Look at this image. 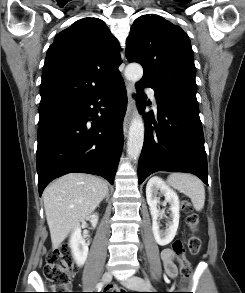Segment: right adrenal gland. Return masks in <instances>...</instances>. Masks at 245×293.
<instances>
[{"mask_svg": "<svg viewBox=\"0 0 245 293\" xmlns=\"http://www.w3.org/2000/svg\"><path fill=\"white\" fill-rule=\"evenodd\" d=\"M108 200H109V192L106 195V201H108Z\"/></svg>", "mask_w": 245, "mask_h": 293, "instance_id": "2a0ac1e0", "label": "right adrenal gland"}]
</instances>
